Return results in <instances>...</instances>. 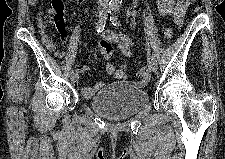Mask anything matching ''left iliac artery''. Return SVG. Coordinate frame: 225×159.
<instances>
[{
	"label": "left iliac artery",
	"instance_id": "1",
	"mask_svg": "<svg viewBox=\"0 0 225 159\" xmlns=\"http://www.w3.org/2000/svg\"><path fill=\"white\" fill-rule=\"evenodd\" d=\"M120 11V7H114L112 12H111V16H110V21L112 22V24L114 26H119L120 24V20L118 19V12ZM152 59L156 60V57L154 54H152Z\"/></svg>",
	"mask_w": 225,
	"mask_h": 159
}]
</instances>
